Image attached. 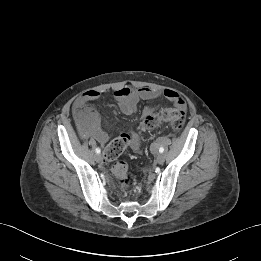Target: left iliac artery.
Here are the masks:
<instances>
[{
  "mask_svg": "<svg viewBox=\"0 0 261 261\" xmlns=\"http://www.w3.org/2000/svg\"><path fill=\"white\" fill-rule=\"evenodd\" d=\"M159 152H160V153H163V152H164V148H163L162 146L159 148Z\"/></svg>",
  "mask_w": 261,
  "mask_h": 261,
  "instance_id": "1",
  "label": "left iliac artery"
}]
</instances>
